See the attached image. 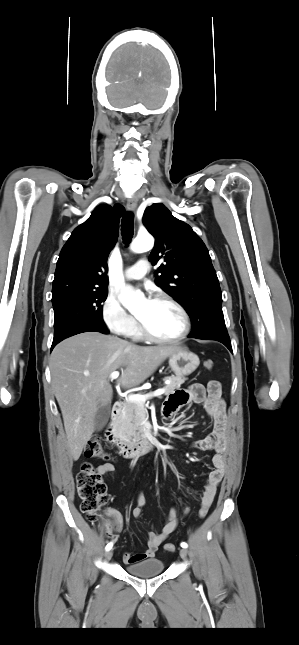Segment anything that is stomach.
Masks as SVG:
<instances>
[{
    "label": "stomach",
    "mask_w": 299,
    "mask_h": 645,
    "mask_svg": "<svg viewBox=\"0 0 299 645\" xmlns=\"http://www.w3.org/2000/svg\"><path fill=\"white\" fill-rule=\"evenodd\" d=\"M199 364L198 356L187 349H180L169 356V365L177 376L190 375Z\"/></svg>",
    "instance_id": "stomach-1"
}]
</instances>
